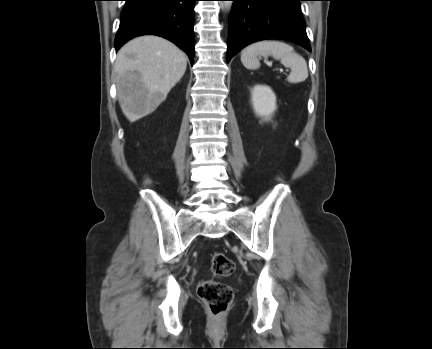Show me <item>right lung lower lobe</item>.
<instances>
[{"mask_svg": "<svg viewBox=\"0 0 432 349\" xmlns=\"http://www.w3.org/2000/svg\"><path fill=\"white\" fill-rule=\"evenodd\" d=\"M115 49L141 35L162 36L194 61V4L197 0H125Z\"/></svg>", "mask_w": 432, "mask_h": 349, "instance_id": "98d812e1", "label": "right lung lower lobe"}]
</instances>
